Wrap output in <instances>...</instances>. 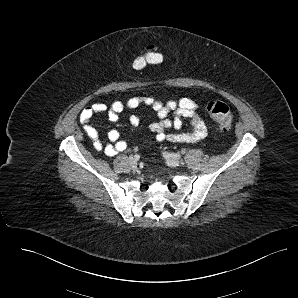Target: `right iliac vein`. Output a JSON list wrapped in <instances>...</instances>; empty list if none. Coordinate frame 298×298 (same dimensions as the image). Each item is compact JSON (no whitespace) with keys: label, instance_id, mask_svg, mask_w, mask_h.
Wrapping results in <instances>:
<instances>
[{"label":"right iliac vein","instance_id":"obj_1","mask_svg":"<svg viewBox=\"0 0 298 298\" xmlns=\"http://www.w3.org/2000/svg\"><path fill=\"white\" fill-rule=\"evenodd\" d=\"M129 163L131 165H136L137 164V160L134 157H129Z\"/></svg>","mask_w":298,"mask_h":298}]
</instances>
